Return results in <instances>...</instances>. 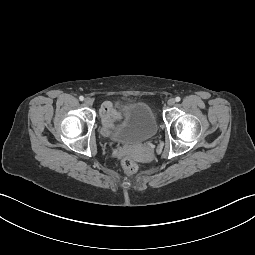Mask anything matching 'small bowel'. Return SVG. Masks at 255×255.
<instances>
[{
	"mask_svg": "<svg viewBox=\"0 0 255 255\" xmlns=\"http://www.w3.org/2000/svg\"><path fill=\"white\" fill-rule=\"evenodd\" d=\"M100 117L105 126H112L115 121L121 119V113L110 102H105L100 109Z\"/></svg>",
	"mask_w": 255,
	"mask_h": 255,
	"instance_id": "small-bowel-1",
	"label": "small bowel"
}]
</instances>
